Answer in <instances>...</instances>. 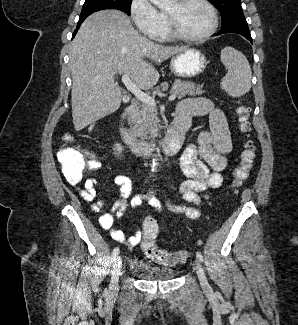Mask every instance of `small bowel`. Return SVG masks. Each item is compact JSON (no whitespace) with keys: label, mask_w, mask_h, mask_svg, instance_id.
Here are the masks:
<instances>
[{"label":"small bowel","mask_w":298,"mask_h":325,"mask_svg":"<svg viewBox=\"0 0 298 325\" xmlns=\"http://www.w3.org/2000/svg\"><path fill=\"white\" fill-rule=\"evenodd\" d=\"M197 104L202 109V115L209 116L210 130L203 131L198 137L196 145H189L180 158L178 166L181 168L187 180L180 184L179 190L184 199L192 204L198 205L201 202L199 193L209 189H215L222 185L223 176L221 172L227 167V155L232 150V139L227 118L222 110L215 107L210 101L205 99L186 100ZM115 184L119 188L120 196L113 204L111 210L100 216L99 223L105 230L110 231L111 237L120 243L134 247L141 240V232L130 238L114 227L115 221L120 219L128 207L127 199L132 190L131 178L120 175L115 178ZM98 181L94 177L85 180L84 185L78 188L81 198L91 202V210L100 213L103 202L96 199V187ZM146 201L160 213L164 208L178 214H185L190 218L198 216V210L192 205L174 204L169 200L162 202L153 192L145 195H137L131 199V206L137 207Z\"/></svg>","instance_id":"1"}]
</instances>
